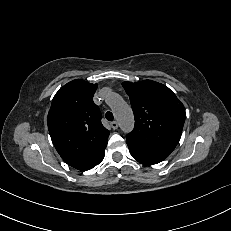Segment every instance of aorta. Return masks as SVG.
<instances>
[{"mask_svg":"<svg viewBox=\"0 0 231 231\" xmlns=\"http://www.w3.org/2000/svg\"><path fill=\"white\" fill-rule=\"evenodd\" d=\"M109 104L122 131L125 133L130 132L134 127V116L131 107L116 93L109 96Z\"/></svg>","mask_w":231,"mask_h":231,"instance_id":"1","label":"aorta"}]
</instances>
